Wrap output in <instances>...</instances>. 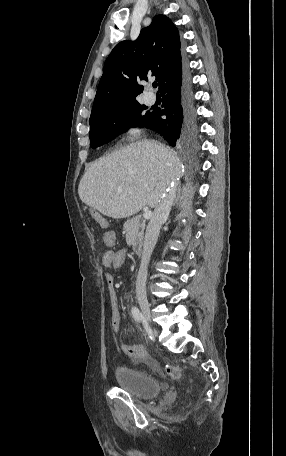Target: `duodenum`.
Returning <instances> with one entry per match:
<instances>
[{"instance_id": "1", "label": "duodenum", "mask_w": 286, "mask_h": 456, "mask_svg": "<svg viewBox=\"0 0 286 456\" xmlns=\"http://www.w3.org/2000/svg\"><path fill=\"white\" fill-rule=\"evenodd\" d=\"M143 247H144V244L143 242L139 241V242H136L133 246V249H134V252L139 255L143 252Z\"/></svg>"}]
</instances>
